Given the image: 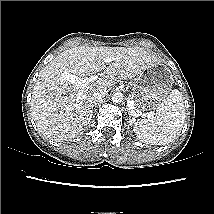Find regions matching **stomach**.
<instances>
[{
  "mask_svg": "<svg viewBox=\"0 0 214 214\" xmlns=\"http://www.w3.org/2000/svg\"><path fill=\"white\" fill-rule=\"evenodd\" d=\"M173 83L170 69L160 61L153 63L134 80V107L142 111L156 109L168 97Z\"/></svg>",
  "mask_w": 214,
  "mask_h": 214,
  "instance_id": "0dacf381",
  "label": "stomach"
}]
</instances>
